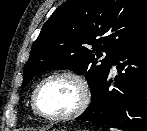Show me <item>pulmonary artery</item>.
I'll list each match as a JSON object with an SVG mask.
<instances>
[{"instance_id":"obj_1","label":"pulmonary artery","mask_w":147,"mask_h":131,"mask_svg":"<svg viewBox=\"0 0 147 131\" xmlns=\"http://www.w3.org/2000/svg\"><path fill=\"white\" fill-rule=\"evenodd\" d=\"M112 70L115 71L116 70V66L113 64L112 66Z\"/></svg>"}]
</instances>
